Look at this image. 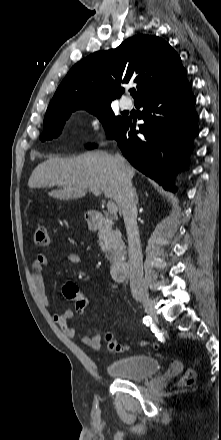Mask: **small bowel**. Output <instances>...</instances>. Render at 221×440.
Listing matches in <instances>:
<instances>
[{
  "label": "small bowel",
  "mask_w": 221,
  "mask_h": 440,
  "mask_svg": "<svg viewBox=\"0 0 221 440\" xmlns=\"http://www.w3.org/2000/svg\"><path fill=\"white\" fill-rule=\"evenodd\" d=\"M64 261L70 264H80L82 262L81 257L78 254L70 253L64 256ZM49 266V258L45 253H39L35 257L31 265V278L37 295L40 297L41 301L47 306L51 307L46 292L45 284L43 278L44 268ZM53 321L59 326L62 332L70 337L75 338L77 336V331L74 327L69 325V319L73 317V311L67 309L66 311L52 312L51 314ZM80 342L90 348L97 349L101 344V336H87L83 335L80 337Z\"/></svg>",
  "instance_id": "obj_1"
}]
</instances>
